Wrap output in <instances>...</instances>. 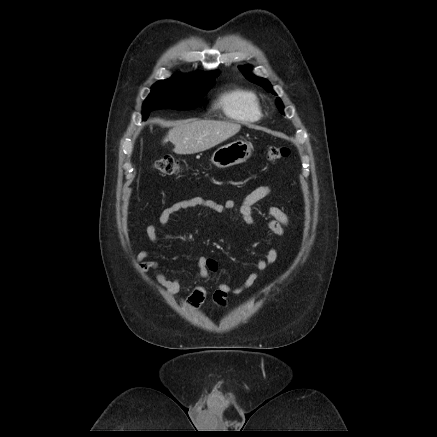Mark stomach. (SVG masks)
Listing matches in <instances>:
<instances>
[{
    "label": "stomach",
    "mask_w": 437,
    "mask_h": 437,
    "mask_svg": "<svg viewBox=\"0 0 437 437\" xmlns=\"http://www.w3.org/2000/svg\"><path fill=\"white\" fill-rule=\"evenodd\" d=\"M253 146L244 141H235L219 147L212 155L211 162L219 168H227L245 162L252 154Z\"/></svg>",
    "instance_id": "stomach-1"
}]
</instances>
